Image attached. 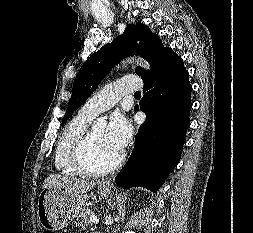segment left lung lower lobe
<instances>
[{
    "mask_svg": "<svg viewBox=\"0 0 253 233\" xmlns=\"http://www.w3.org/2000/svg\"><path fill=\"white\" fill-rule=\"evenodd\" d=\"M188 77L182 59L169 48L141 76L144 95L134 109L140 108L147 119L138 130L128 162L115 177L120 187L141 186L156 192L178 164L192 107Z\"/></svg>",
    "mask_w": 253,
    "mask_h": 233,
    "instance_id": "left-lung-lower-lobe-1",
    "label": "left lung lower lobe"
}]
</instances>
